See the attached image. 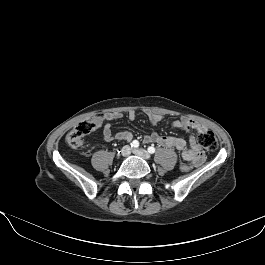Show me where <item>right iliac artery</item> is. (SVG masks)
I'll list each match as a JSON object with an SVG mask.
<instances>
[{"label":"right iliac artery","instance_id":"82829eb1","mask_svg":"<svg viewBox=\"0 0 265 265\" xmlns=\"http://www.w3.org/2000/svg\"><path fill=\"white\" fill-rule=\"evenodd\" d=\"M139 146V142L137 140H134L132 143H131V147L133 148H137Z\"/></svg>","mask_w":265,"mask_h":265}]
</instances>
